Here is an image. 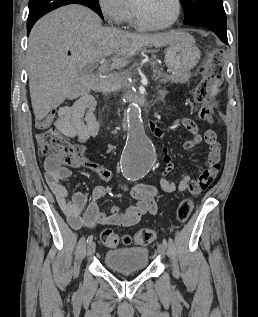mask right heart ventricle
Masks as SVG:
<instances>
[{
	"instance_id": "1",
	"label": "right heart ventricle",
	"mask_w": 258,
	"mask_h": 317,
	"mask_svg": "<svg viewBox=\"0 0 258 317\" xmlns=\"http://www.w3.org/2000/svg\"><path fill=\"white\" fill-rule=\"evenodd\" d=\"M128 5H129V14L127 17V21L130 24H135V18H134V10H135V5L138 2L137 0H127Z\"/></svg>"
}]
</instances>
